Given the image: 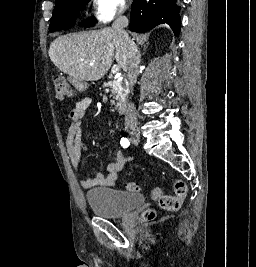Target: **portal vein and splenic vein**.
I'll list each match as a JSON object with an SVG mask.
<instances>
[{
  "label": "portal vein and splenic vein",
  "mask_w": 256,
  "mask_h": 267,
  "mask_svg": "<svg viewBox=\"0 0 256 267\" xmlns=\"http://www.w3.org/2000/svg\"><path fill=\"white\" fill-rule=\"evenodd\" d=\"M111 72H113V74H118V72H120V66H113Z\"/></svg>",
  "instance_id": "obj_1"
}]
</instances>
